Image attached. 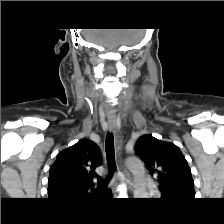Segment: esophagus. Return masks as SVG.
Listing matches in <instances>:
<instances>
[{"label":"esophagus","mask_w":224,"mask_h":224,"mask_svg":"<svg viewBox=\"0 0 224 224\" xmlns=\"http://www.w3.org/2000/svg\"><path fill=\"white\" fill-rule=\"evenodd\" d=\"M108 128L111 133L115 136V150H116V156H117V163H118V169L122 170L124 173V181L129 186V188H132V177L130 173L127 171L126 167L123 164L122 155H121V142L119 140L117 127H116V120L115 118H108ZM116 180L118 181L119 178L117 177Z\"/></svg>","instance_id":"obj_1"}]
</instances>
